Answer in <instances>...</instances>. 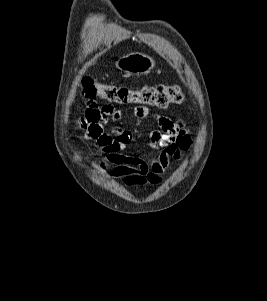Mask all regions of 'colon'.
Returning a JSON list of instances; mask_svg holds the SVG:
<instances>
[{
    "label": "colon",
    "instance_id": "5ec220e1",
    "mask_svg": "<svg viewBox=\"0 0 267 301\" xmlns=\"http://www.w3.org/2000/svg\"><path fill=\"white\" fill-rule=\"evenodd\" d=\"M82 94L90 99L100 97L117 104H142L157 109H166L173 104H181L184 95L175 85L144 86L132 89L127 86L107 85L95 82L89 77L82 80Z\"/></svg>",
    "mask_w": 267,
    "mask_h": 301
}]
</instances>
